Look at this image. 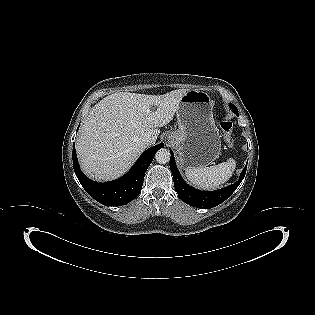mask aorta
<instances>
[{
	"label": "aorta",
	"mask_w": 315,
	"mask_h": 315,
	"mask_svg": "<svg viewBox=\"0 0 315 315\" xmlns=\"http://www.w3.org/2000/svg\"><path fill=\"white\" fill-rule=\"evenodd\" d=\"M155 158L158 163L165 164L170 160V152L168 149L162 148L157 151Z\"/></svg>",
	"instance_id": "obj_1"
}]
</instances>
